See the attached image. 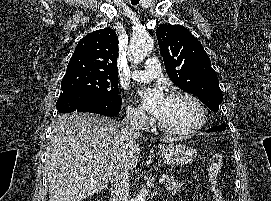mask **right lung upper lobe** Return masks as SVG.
<instances>
[{
	"mask_svg": "<svg viewBox=\"0 0 271 201\" xmlns=\"http://www.w3.org/2000/svg\"><path fill=\"white\" fill-rule=\"evenodd\" d=\"M118 36L113 29L94 31L77 44L67 71H90L118 75Z\"/></svg>",
	"mask_w": 271,
	"mask_h": 201,
	"instance_id": "obj_1",
	"label": "right lung upper lobe"
}]
</instances>
